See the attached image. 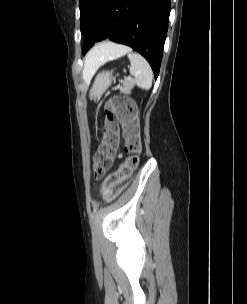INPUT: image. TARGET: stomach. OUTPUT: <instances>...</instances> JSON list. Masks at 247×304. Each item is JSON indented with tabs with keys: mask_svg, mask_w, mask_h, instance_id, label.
Listing matches in <instances>:
<instances>
[{
	"mask_svg": "<svg viewBox=\"0 0 247 304\" xmlns=\"http://www.w3.org/2000/svg\"><path fill=\"white\" fill-rule=\"evenodd\" d=\"M113 79V71H102L96 76L91 87L90 99L100 97L111 85Z\"/></svg>",
	"mask_w": 247,
	"mask_h": 304,
	"instance_id": "1",
	"label": "stomach"
}]
</instances>
